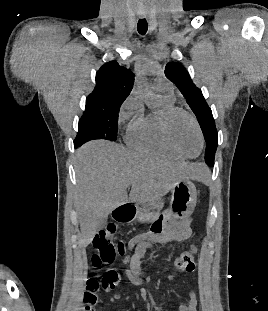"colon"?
Segmentation results:
<instances>
[{"label": "colon", "mask_w": 268, "mask_h": 311, "mask_svg": "<svg viewBox=\"0 0 268 311\" xmlns=\"http://www.w3.org/2000/svg\"><path fill=\"white\" fill-rule=\"evenodd\" d=\"M116 233V227L114 224H110L106 229L101 230L93 240V246L95 252L91 257V263L93 267L98 268L103 265L112 264L117 255H124L125 246L122 242L115 243L113 237ZM197 249L195 246H191L188 250L183 251L175 260L174 266L178 270L192 271L194 269V259ZM120 272L116 269L108 271L101 280L91 278L87 281L86 289L84 293V307L83 311H97V294L102 287L105 291H110L120 281Z\"/></svg>", "instance_id": "5ec220e1"}]
</instances>
